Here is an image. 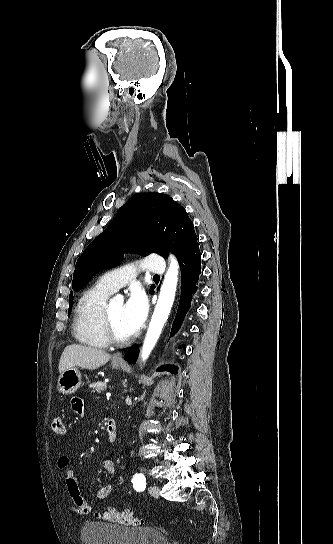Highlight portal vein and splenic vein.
I'll return each instance as SVG.
<instances>
[{
  "label": "portal vein and splenic vein",
  "instance_id": "18ae733b",
  "mask_svg": "<svg viewBox=\"0 0 333 544\" xmlns=\"http://www.w3.org/2000/svg\"><path fill=\"white\" fill-rule=\"evenodd\" d=\"M106 397L107 398L111 397V393H106Z\"/></svg>",
  "mask_w": 333,
  "mask_h": 544
}]
</instances>
